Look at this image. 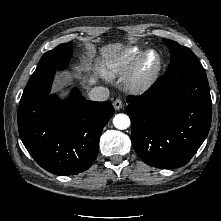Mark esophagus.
Returning a JSON list of instances; mask_svg holds the SVG:
<instances>
[{
    "label": "esophagus",
    "instance_id": "1",
    "mask_svg": "<svg viewBox=\"0 0 221 221\" xmlns=\"http://www.w3.org/2000/svg\"><path fill=\"white\" fill-rule=\"evenodd\" d=\"M113 106H114L115 110H120L123 107V102L121 101V99H116L113 102Z\"/></svg>",
    "mask_w": 221,
    "mask_h": 221
}]
</instances>
